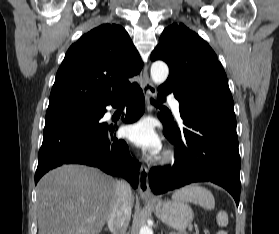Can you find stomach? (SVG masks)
<instances>
[{
    "instance_id": "stomach-1",
    "label": "stomach",
    "mask_w": 279,
    "mask_h": 234,
    "mask_svg": "<svg viewBox=\"0 0 279 234\" xmlns=\"http://www.w3.org/2000/svg\"><path fill=\"white\" fill-rule=\"evenodd\" d=\"M151 206L161 221L179 232H183L193 220V211L184 201H157Z\"/></svg>"
}]
</instances>
